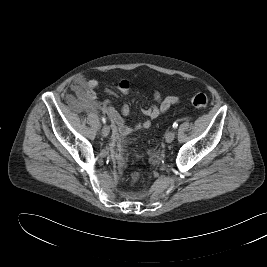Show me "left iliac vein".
<instances>
[{
  "mask_svg": "<svg viewBox=\"0 0 267 267\" xmlns=\"http://www.w3.org/2000/svg\"><path fill=\"white\" fill-rule=\"evenodd\" d=\"M175 138V132L173 130H170L166 133L165 139L167 143H171Z\"/></svg>",
  "mask_w": 267,
  "mask_h": 267,
  "instance_id": "1",
  "label": "left iliac vein"
}]
</instances>
